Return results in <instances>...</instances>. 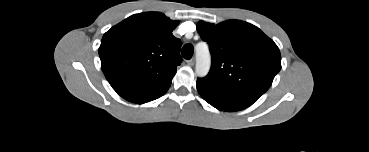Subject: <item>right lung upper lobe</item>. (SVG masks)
<instances>
[{
	"instance_id": "1",
	"label": "right lung upper lobe",
	"mask_w": 369,
	"mask_h": 152,
	"mask_svg": "<svg viewBox=\"0 0 369 152\" xmlns=\"http://www.w3.org/2000/svg\"><path fill=\"white\" fill-rule=\"evenodd\" d=\"M178 21L160 12L135 14L108 30L101 41L102 71L112 88L133 103L164 95L181 62Z\"/></svg>"
}]
</instances>
